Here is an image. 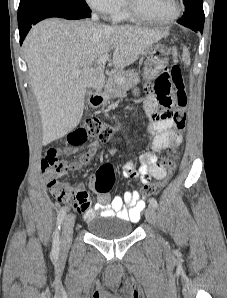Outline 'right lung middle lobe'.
<instances>
[{"label":"right lung middle lobe","instance_id":"obj_1","mask_svg":"<svg viewBox=\"0 0 227 298\" xmlns=\"http://www.w3.org/2000/svg\"><path fill=\"white\" fill-rule=\"evenodd\" d=\"M46 6H63L76 10L90 11L85 0H20L18 19Z\"/></svg>","mask_w":227,"mask_h":298}]
</instances>
